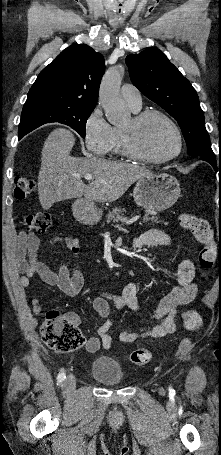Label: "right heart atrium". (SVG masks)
<instances>
[{"label": "right heart atrium", "mask_w": 221, "mask_h": 455, "mask_svg": "<svg viewBox=\"0 0 221 455\" xmlns=\"http://www.w3.org/2000/svg\"><path fill=\"white\" fill-rule=\"evenodd\" d=\"M113 128L103 117L100 110H94L84 123V143L86 149L95 155H104L110 151Z\"/></svg>", "instance_id": "obj_1"}]
</instances>
